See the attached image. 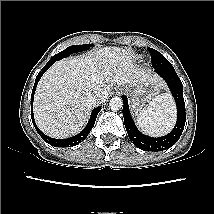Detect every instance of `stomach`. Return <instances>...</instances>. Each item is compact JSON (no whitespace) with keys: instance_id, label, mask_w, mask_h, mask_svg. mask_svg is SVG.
<instances>
[{"instance_id":"stomach-1","label":"stomach","mask_w":214,"mask_h":214,"mask_svg":"<svg viewBox=\"0 0 214 214\" xmlns=\"http://www.w3.org/2000/svg\"><path fill=\"white\" fill-rule=\"evenodd\" d=\"M162 84L158 81H146L133 88L130 93L131 108L138 114L160 92Z\"/></svg>"}]
</instances>
